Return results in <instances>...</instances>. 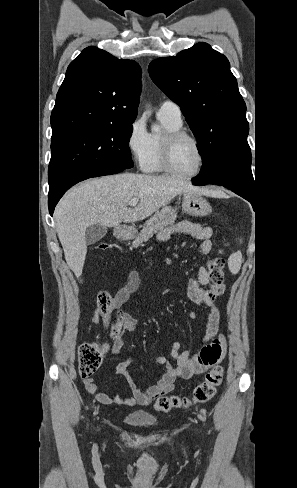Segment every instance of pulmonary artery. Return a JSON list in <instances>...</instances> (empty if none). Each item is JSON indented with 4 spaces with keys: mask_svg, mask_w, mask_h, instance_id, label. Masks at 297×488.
Listing matches in <instances>:
<instances>
[{
    "mask_svg": "<svg viewBox=\"0 0 297 488\" xmlns=\"http://www.w3.org/2000/svg\"><path fill=\"white\" fill-rule=\"evenodd\" d=\"M158 117L166 119L176 124H182V113L180 107L171 100H165L161 103L158 110Z\"/></svg>",
    "mask_w": 297,
    "mask_h": 488,
    "instance_id": "e3ab8cb5",
    "label": "pulmonary artery"
}]
</instances>
